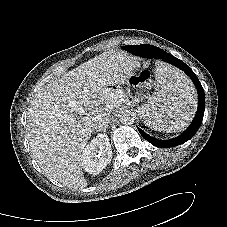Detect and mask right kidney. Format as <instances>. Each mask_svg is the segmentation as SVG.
I'll list each match as a JSON object with an SVG mask.
<instances>
[{"label": "right kidney", "mask_w": 227, "mask_h": 227, "mask_svg": "<svg viewBox=\"0 0 227 227\" xmlns=\"http://www.w3.org/2000/svg\"><path fill=\"white\" fill-rule=\"evenodd\" d=\"M112 149L107 134H98L81 155V166L89 174L97 175L110 163Z\"/></svg>", "instance_id": "right-kidney-1"}]
</instances>
